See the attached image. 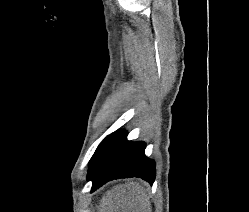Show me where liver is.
Returning <instances> with one entry per match:
<instances>
[{"mask_svg": "<svg viewBox=\"0 0 249 212\" xmlns=\"http://www.w3.org/2000/svg\"><path fill=\"white\" fill-rule=\"evenodd\" d=\"M146 190L139 182L129 180L106 192L100 200L99 212H152Z\"/></svg>", "mask_w": 249, "mask_h": 212, "instance_id": "1", "label": "liver"}]
</instances>
